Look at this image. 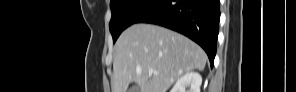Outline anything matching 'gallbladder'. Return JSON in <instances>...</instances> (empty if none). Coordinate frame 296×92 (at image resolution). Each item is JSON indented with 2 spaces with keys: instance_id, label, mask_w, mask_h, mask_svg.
<instances>
[{
  "instance_id": "bac80fb5",
  "label": "gallbladder",
  "mask_w": 296,
  "mask_h": 92,
  "mask_svg": "<svg viewBox=\"0 0 296 92\" xmlns=\"http://www.w3.org/2000/svg\"><path fill=\"white\" fill-rule=\"evenodd\" d=\"M140 90H139V87L138 86H133V87H131L129 90H128V92H139Z\"/></svg>"
}]
</instances>
